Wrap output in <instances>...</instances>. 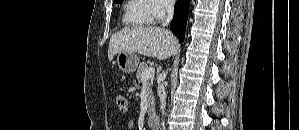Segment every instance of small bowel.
I'll return each mask as SVG.
<instances>
[{"mask_svg":"<svg viewBox=\"0 0 299 130\" xmlns=\"http://www.w3.org/2000/svg\"><path fill=\"white\" fill-rule=\"evenodd\" d=\"M127 129L130 130V129H133L135 127V123L133 120H129L127 122V125H126Z\"/></svg>","mask_w":299,"mask_h":130,"instance_id":"c3829d8e","label":"small bowel"}]
</instances>
